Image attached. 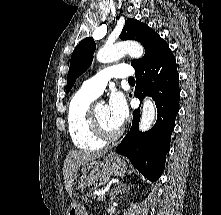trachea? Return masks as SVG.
<instances>
[{
	"instance_id": "trachea-1",
	"label": "trachea",
	"mask_w": 221,
	"mask_h": 215,
	"mask_svg": "<svg viewBox=\"0 0 221 215\" xmlns=\"http://www.w3.org/2000/svg\"><path fill=\"white\" fill-rule=\"evenodd\" d=\"M128 81H130V82L135 81V79L131 77V78L128 79Z\"/></svg>"
}]
</instances>
